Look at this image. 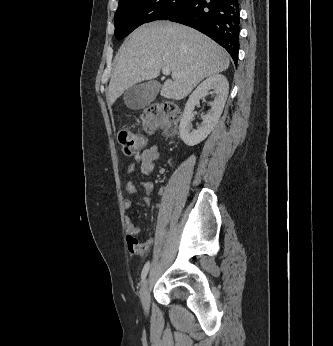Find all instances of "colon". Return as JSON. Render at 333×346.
Instances as JSON below:
<instances>
[{
  "label": "colon",
  "instance_id": "colon-1",
  "mask_svg": "<svg viewBox=\"0 0 333 346\" xmlns=\"http://www.w3.org/2000/svg\"><path fill=\"white\" fill-rule=\"evenodd\" d=\"M180 117L181 111L176 104L163 101L147 106L141 115V120L147 133L161 130L164 134L171 136L177 130ZM118 140L124 154L128 156L139 152L145 146L144 136L127 128L119 132Z\"/></svg>",
  "mask_w": 333,
  "mask_h": 346
}]
</instances>
